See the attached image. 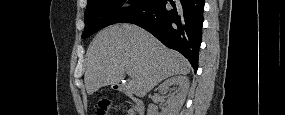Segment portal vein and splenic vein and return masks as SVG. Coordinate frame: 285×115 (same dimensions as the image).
Instances as JSON below:
<instances>
[{
    "instance_id": "obj_1",
    "label": "portal vein and splenic vein",
    "mask_w": 285,
    "mask_h": 115,
    "mask_svg": "<svg viewBox=\"0 0 285 115\" xmlns=\"http://www.w3.org/2000/svg\"><path fill=\"white\" fill-rule=\"evenodd\" d=\"M130 72H131V71H130L129 69H127V73L130 74Z\"/></svg>"
}]
</instances>
